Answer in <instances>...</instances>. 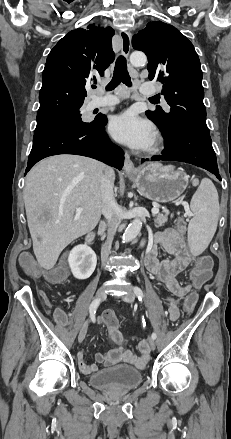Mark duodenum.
Listing matches in <instances>:
<instances>
[{"label":"duodenum","instance_id":"duodenum-1","mask_svg":"<svg viewBox=\"0 0 231 439\" xmlns=\"http://www.w3.org/2000/svg\"><path fill=\"white\" fill-rule=\"evenodd\" d=\"M94 238H95V234H94V232H89V233H87L86 234V236H85V242L87 243V244H93V242H94Z\"/></svg>","mask_w":231,"mask_h":439}]
</instances>
